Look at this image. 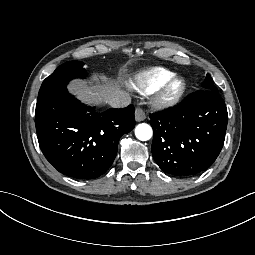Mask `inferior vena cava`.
<instances>
[{"label":"inferior vena cava","mask_w":255,"mask_h":255,"mask_svg":"<svg viewBox=\"0 0 255 255\" xmlns=\"http://www.w3.org/2000/svg\"><path fill=\"white\" fill-rule=\"evenodd\" d=\"M106 102L113 108H123L131 103V98L119 91L114 95L108 96Z\"/></svg>","instance_id":"602c4592"}]
</instances>
